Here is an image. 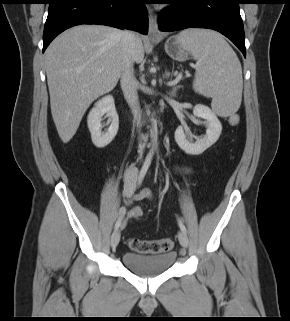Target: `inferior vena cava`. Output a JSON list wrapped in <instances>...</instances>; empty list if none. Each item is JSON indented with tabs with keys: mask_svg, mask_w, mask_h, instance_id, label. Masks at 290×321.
<instances>
[{
	"mask_svg": "<svg viewBox=\"0 0 290 321\" xmlns=\"http://www.w3.org/2000/svg\"><path fill=\"white\" fill-rule=\"evenodd\" d=\"M121 44L124 53V70L120 76V84L124 97L130 106L134 118L140 121V106L137 93V80L133 75L132 55L136 45V35L132 31H123L121 33ZM140 153H143L140 147Z\"/></svg>",
	"mask_w": 290,
	"mask_h": 321,
	"instance_id": "inferior-vena-cava-1",
	"label": "inferior vena cava"
}]
</instances>
